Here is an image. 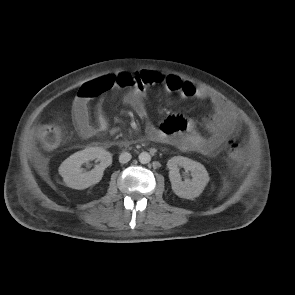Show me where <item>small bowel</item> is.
<instances>
[{"mask_svg": "<svg viewBox=\"0 0 295 295\" xmlns=\"http://www.w3.org/2000/svg\"><path fill=\"white\" fill-rule=\"evenodd\" d=\"M139 84L128 88L124 94V102L145 121L148 137L158 143L175 146L185 152H195L203 156L215 155L230 138L234 137L240 123L237 115L220 97L191 82H186L179 76H164L154 71H144L133 74ZM102 77L81 86L73 102L72 116L78 134L90 138L97 132H108L109 124L103 113V102L109 92ZM163 85L170 94L181 98L206 100L212 106V113L204 119L206 135H201L195 129V123L180 114L165 118L159 127L149 121L146 109V91L155 85ZM96 99V123L91 121L89 102Z\"/></svg>", "mask_w": 295, "mask_h": 295, "instance_id": "c3829d8e", "label": "small bowel"}]
</instances>
